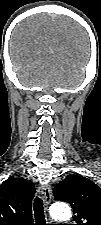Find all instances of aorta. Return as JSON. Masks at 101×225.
Instances as JSON below:
<instances>
[{
    "label": "aorta",
    "instance_id": "obj_1",
    "mask_svg": "<svg viewBox=\"0 0 101 225\" xmlns=\"http://www.w3.org/2000/svg\"><path fill=\"white\" fill-rule=\"evenodd\" d=\"M51 216L58 221H68L72 217L71 208L66 204L57 203L51 207Z\"/></svg>",
    "mask_w": 101,
    "mask_h": 225
}]
</instances>
